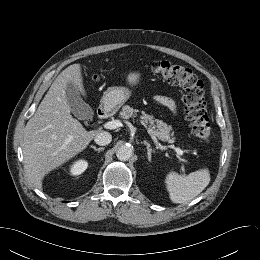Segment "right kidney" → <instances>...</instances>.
Segmentation results:
<instances>
[{
    "instance_id": "ca27d5eb",
    "label": "right kidney",
    "mask_w": 260,
    "mask_h": 260,
    "mask_svg": "<svg viewBox=\"0 0 260 260\" xmlns=\"http://www.w3.org/2000/svg\"><path fill=\"white\" fill-rule=\"evenodd\" d=\"M88 167V162L85 160H78L73 163L70 167L71 175H80L82 174Z\"/></svg>"
}]
</instances>
